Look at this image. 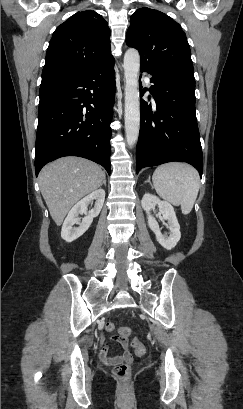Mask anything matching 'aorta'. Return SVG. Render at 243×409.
Wrapping results in <instances>:
<instances>
[{
	"label": "aorta",
	"mask_w": 243,
	"mask_h": 409,
	"mask_svg": "<svg viewBox=\"0 0 243 409\" xmlns=\"http://www.w3.org/2000/svg\"><path fill=\"white\" fill-rule=\"evenodd\" d=\"M125 78V134L129 147H132L139 136L140 101L138 74L140 70V55L136 49L130 48L124 55Z\"/></svg>",
	"instance_id": "762f6f07"
}]
</instances>
